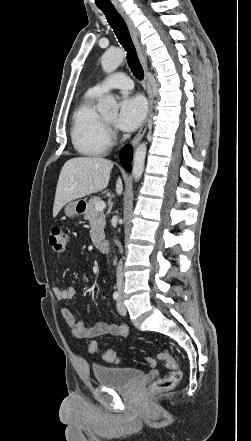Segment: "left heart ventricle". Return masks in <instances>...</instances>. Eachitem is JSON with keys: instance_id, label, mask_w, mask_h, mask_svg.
<instances>
[{"instance_id": "b2bd125f", "label": "left heart ventricle", "mask_w": 251, "mask_h": 441, "mask_svg": "<svg viewBox=\"0 0 251 441\" xmlns=\"http://www.w3.org/2000/svg\"><path fill=\"white\" fill-rule=\"evenodd\" d=\"M114 119H115V117L114 116H112V117H108L106 120L108 121V122H113L114 121Z\"/></svg>"}]
</instances>
